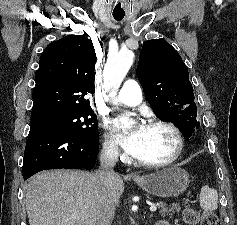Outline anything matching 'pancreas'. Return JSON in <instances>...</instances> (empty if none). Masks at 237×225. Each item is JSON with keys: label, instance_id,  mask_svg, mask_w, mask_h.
Instances as JSON below:
<instances>
[{"label": "pancreas", "instance_id": "cf45deb5", "mask_svg": "<svg viewBox=\"0 0 237 225\" xmlns=\"http://www.w3.org/2000/svg\"><path fill=\"white\" fill-rule=\"evenodd\" d=\"M159 214L163 217L172 216L175 211L179 212L181 207L179 204L168 205L164 202L158 203Z\"/></svg>", "mask_w": 237, "mask_h": 225}]
</instances>
